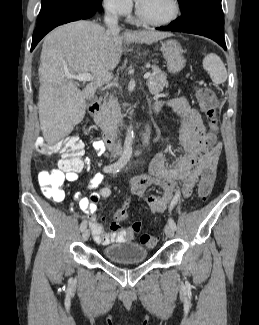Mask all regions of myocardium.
<instances>
[{
	"mask_svg": "<svg viewBox=\"0 0 259 325\" xmlns=\"http://www.w3.org/2000/svg\"><path fill=\"white\" fill-rule=\"evenodd\" d=\"M170 3H171L172 10H171L170 14L165 18L153 19V18L146 16L141 8L140 3H138L137 7H136L137 16L142 22L149 24V25H153V26L168 25V24L172 23L179 16L180 9H181L180 3L178 0H170Z\"/></svg>",
	"mask_w": 259,
	"mask_h": 325,
	"instance_id": "1",
	"label": "myocardium"
}]
</instances>
